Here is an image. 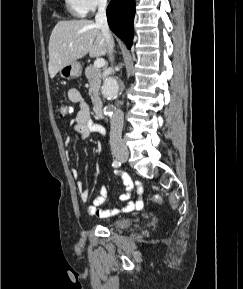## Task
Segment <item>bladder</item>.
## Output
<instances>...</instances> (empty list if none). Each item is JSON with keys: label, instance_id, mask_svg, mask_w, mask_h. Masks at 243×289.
Listing matches in <instances>:
<instances>
[{"label": "bladder", "instance_id": "bladder-1", "mask_svg": "<svg viewBox=\"0 0 243 289\" xmlns=\"http://www.w3.org/2000/svg\"><path fill=\"white\" fill-rule=\"evenodd\" d=\"M106 224L115 229H121L129 226L131 224V220L125 217H113L106 220Z\"/></svg>", "mask_w": 243, "mask_h": 289}]
</instances>
